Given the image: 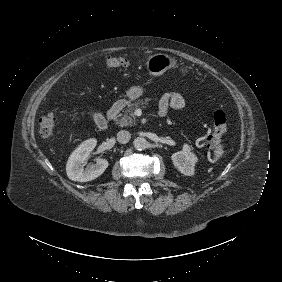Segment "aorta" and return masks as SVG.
Returning <instances> with one entry per match:
<instances>
[{
    "instance_id": "762f6f07",
    "label": "aorta",
    "mask_w": 282,
    "mask_h": 282,
    "mask_svg": "<svg viewBox=\"0 0 282 282\" xmlns=\"http://www.w3.org/2000/svg\"><path fill=\"white\" fill-rule=\"evenodd\" d=\"M134 148L138 151L145 150L148 148V141L143 137H137L133 141Z\"/></svg>"
}]
</instances>
